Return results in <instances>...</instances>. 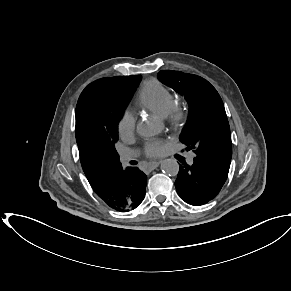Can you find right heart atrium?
Listing matches in <instances>:
<instances>
[{
    "instance_id": "obj_1",
    "label": "right heart atrium",
    "mask_w": 291,
    "mask_h": 291,
    "mask_svg": "<svg viewBox=\"0 0 291 291\" xmlns=\"http://www.w3.org/2000/svg\"><path fill=\"white\" fill-rule=\"evenodd\" d=\"M136 120L132 113L126 111L118 122V132L122 138H129L135 132Z\"/></svg>"
}]
</instances>
